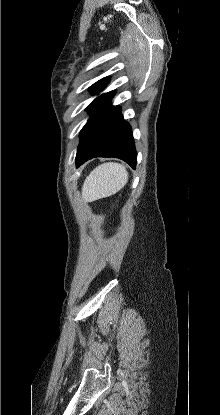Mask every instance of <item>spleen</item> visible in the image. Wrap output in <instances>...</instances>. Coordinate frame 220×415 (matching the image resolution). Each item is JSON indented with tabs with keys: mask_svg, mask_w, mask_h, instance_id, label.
<instances>
[{
	"mask_svg": "<svg viewBox=\"0 0 220 415\" xmlns=\"http://www.w3.org/2000/svg\"><path fill=\"white\" fill-rule=\"evenodd\" d=\"M128 181V172L124 165L114 162L96 167L85 179L82 186V198L92 202L117 193Z\"/></svg>",
	"mask_w": 220,
	"mask_h": 415,
	"instance_id": "spleen-1",
	"label": "spleen"
}]
</instances>
